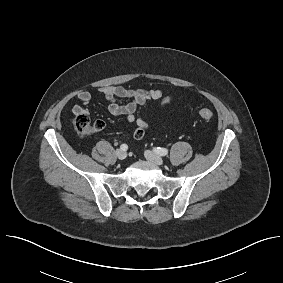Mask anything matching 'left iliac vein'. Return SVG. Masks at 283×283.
I'll return each instance as SVG.
<instances>
[{
  "instance_id": "4c4485c4",
  "label": "left iliac vein",
  "mask_w": 283,
  "mask_h": 283,
  "mask_svg": "<svg viewBox=\"0 0 283 283\" xmlns=\"http://www.w3.org/2000/svg\"><path fill=\"white\" fill-rule=\"evenodd\" d=\"M145 157L148 161L156 165H163L164 163V160L161 156L149 150L145 151Z\"/></svg>"
}]
</instances>
